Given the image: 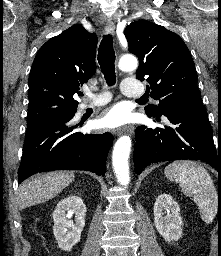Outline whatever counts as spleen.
I'll return each mask as SVG.
<instances>
[{
    "label": "spleen",
    "mask_w": 221,
    "mask_h": 256,
    "mask_svg": "<svg viewBox=\"0 0 221 256\" xmlns=\"http://www.w3.org/2000/svg\"><path fill=\"white\" fill-rule=\"evenodd\" d=\"M164 173L170 181L179 183L186 196L192 197L202 220L212 223L218 212V193L206 169L192 161H174Z\"/></svg>",
    "instance_id": "obj_1"
}]
</instances>
